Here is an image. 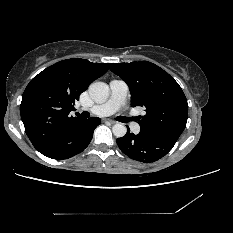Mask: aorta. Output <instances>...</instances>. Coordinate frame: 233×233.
<instances>
[{
    "label": "aorta",
    "mask_w": 233,
    "mask_h": 233,
    "mask_svg": "<svg viewBox=\"0 0 233 233\" xmlns=\"http://www.w3.org/2000/svg\"><path fill=\"white\" fill-rule=\"evenodd\" d=\"M89 95L97 103H103L109 96V86L104 82H94L89 86ZM112 132L116 137H123L127 132L125 125L118 123L112 127Z\"/></svg>",
    "instance_id": "1"
}]
</instances>
